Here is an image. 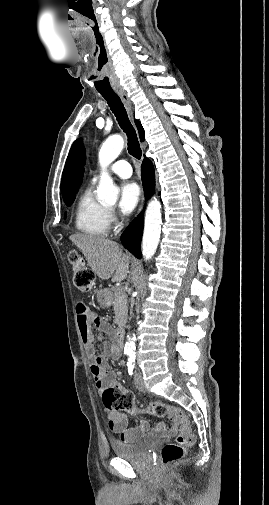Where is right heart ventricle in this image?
I'll return each instance as SVG.
<instances>
[{
	"instance_id": "right-heart-ventricle-1",
	"label": "right heart ventricle",
	"mask_w": 269,
	"mask_h": 505,
	"mask_svg": "<svg viewBox=\"0 0 269 505\" xmlns=\"http://www.w3.org/2000/svg\"><path fill=\"white\" fill-rule=\"evenodd\" d=\"M75 226L91 236H105L109 232L108 209L94 197L92 186L87 187L77 201Z\"/></svg>"
}]
</instances>
